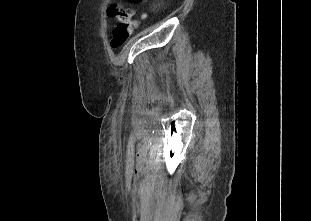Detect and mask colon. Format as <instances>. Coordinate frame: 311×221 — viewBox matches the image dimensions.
Here are the masks:
<instances>
[{
  "label": "colon",
  "mask_w": 311,
  "mask_h": 221,
  "mask_svg": "<svg viewBox=\"0 0 311 221\" xmlns=\"http://www.w3.org/2000/svg\"><path fill=\"white\" fill-rule=\"evenodd\" d=\"M107 7L109 9L108 16L113 17V19L120 20V26L114 27L111 35V47L113 49L123 46L132 32L136 29L137 26H131V23L123 24L121 23V18H131V15L134 13H128L126 10L121 9L119 2H108ZM145 15H142L141 18H144ZM137 25L139 20L136 19Z\"/></svg>",
  "instance_id": "5ec220e1"
}]
</instances>
